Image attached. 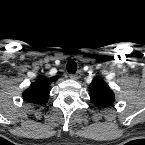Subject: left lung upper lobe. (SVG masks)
I'll return each instance as SVG.
<instances>
[{
	"mask_svg": "<svg viewBox=\"0 0 145 145\" xmlns=\"http://www.w3.org/2000/svg\"><path fill=\"white\" fill-rule=\"evenodd\" d=\"M89 95L92 103L99 108L109 107L115 101L113 91L100 77L93 79L89 86Z\"/></svg>",
	"mask_w": 145,
	"mask_h": 145,
	"instance_id": "5c2ea615",
	"label": "left lung upper lobe"
}]
</instances>
